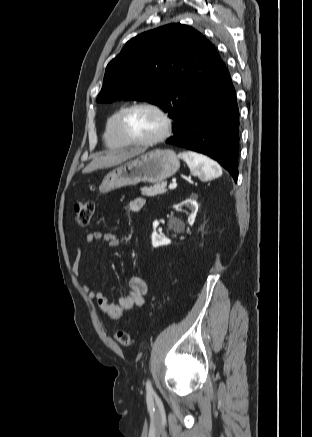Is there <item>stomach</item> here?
<instances>
[{
  "instance_id": "1",
  "label": "stomach",
  "mask_w": 312,
  "mask_h": 437,
  "mask_svg": "<svg viewBox=\"0 0 312 437\" xmlns=\"http://www.w3.org/2000/svg\"><path fill=\"white\" fill-rule=\"evenodd\" d=\"M179 168L180 162L173 150H152L110 171L103 179L99 191L108 193L140 182L160 183L173 176Z\"/></svg>"
}]
</instances>
